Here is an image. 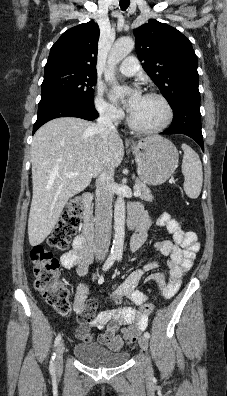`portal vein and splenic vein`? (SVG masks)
I'll return each mask as SVG.
<instances>
[{
	"mask_svg": "<svg viewBox=\"0 0 227 396\" xmlns=\"http://www.w3.org/2000/svg\"><path fill=\"white\" fill-rule=\"evenodd\" d=\"M78 175H79V173H77V172H69V173L66 174V176L69 177V178L76 177ZM134 189H135L134 195L136 197L140 196V194H141L140 190H138L136 187H134Z\"/></svg>",
	"mask_w": 227,
	"mask_h": 396,
	"instance_id": "portal-vein-and-splenic-vein-1",
	"label": "portal vein and splenic vein"
}]
</instances>
